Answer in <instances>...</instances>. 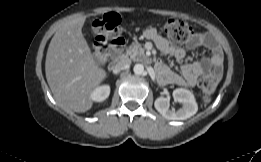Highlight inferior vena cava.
Segmentation results:
<instances>
[{"label": "inferior vena cava", "mask_w": 261, "mask_h": 162, "mask_svg": "<svg viewBox=\"0 0 261 162\" xmlns=\"http://www.w3.org/2000/svg\"><path fill=\"white\" fill-rule=\"evenodd\" d=\"M131 64L129 59H122L113 66V72L118 73L121 70L127 68Z\"/></svg>", "instance_id": "602c4592"}]
</instances>
